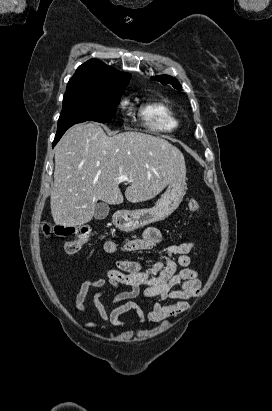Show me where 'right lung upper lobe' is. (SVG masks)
Masks as SVG:
<instances>
[{
    "label": "right lung upper lobe",
    "mask_w": 272,
    "mask_h": 411,
    "mask_svg": "<svg viewBox=\"0 0 272 411\" xmlns=\"http://www.w3.org/2000/svg\"><path fill=\"white\" fill-rule=\"evenodd\" d=\"M131 78L97 59H91L76 70L67 84L66 93L100 89L102 87L126 86Z\"/></svg>",
    "instance_id": "right-lung-upper-lobe-1"
}]
</instances>
